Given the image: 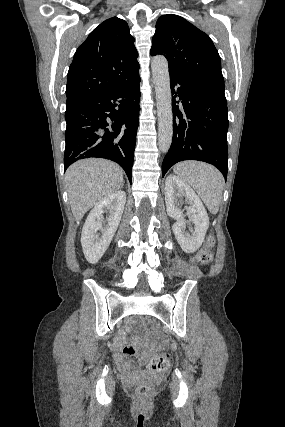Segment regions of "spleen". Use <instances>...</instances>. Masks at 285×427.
Returning a JSON list of instances; mask_svg holds the SVG:
<instances>
[{
  "instance_id": "1",
  "label": "spleen",
  "mask_w": 285,
  "mask_h": 427,
  "mask_svg": "<svg viewBox=\"0 0 285 427\" xmlns=\"http://www.w3.org/2000/svg\"><path fill=\"white\" fill-rule=\"evenodd\" d=\"M173 171L194 188L212 214L219 211L224 178L215 167L203 162L185 161L176 164Z\"/></svg>"
}]
</instances>
